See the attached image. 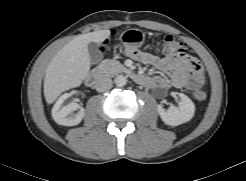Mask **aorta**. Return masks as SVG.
<instances>
[{"mask_svg": "<svg viewBox=\"0 0 246 181\" xmlns=\"http://www.w3.org/2000/svg\"><path fill=\"white\" fill-rule=\"evenodd\" d=\"M114 82L118 87H123L126 85L127 79L124 75H118L115 77Z\"/></svg>", "mask_w": 246, "mask_h": 181, "instance_id": "1", "label": "aorta"}]
</instances>
